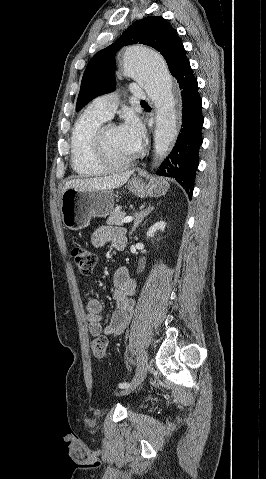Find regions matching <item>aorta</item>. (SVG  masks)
Returning a JSON list of instances; mask_svg holds the SVG:
<instances>
[{
  "mask_svg": "<svg viewBox=\"0 0 266 479\" xmlns=\"http://www.w3.org/2000/svg\"><path fill=\"white\" fill-rule=\"evenodd\" d=\"M122 65L124 75L143 87L156 109L154 167L167 156L177 134L173 79L161 55L145 46L127 47Z\"/></svg>",
  "mask_w": 266,
  "mask_h": 479,
  "instance_id": "1",
  "label": "aorta"
}]
</instances>
